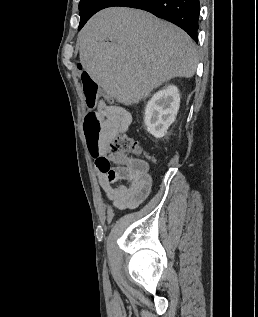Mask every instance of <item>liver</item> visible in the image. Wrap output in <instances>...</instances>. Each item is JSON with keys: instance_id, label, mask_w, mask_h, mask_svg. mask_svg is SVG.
<instances>
[{"instance_id": "liver-1", "label": "liver", "mask_w": 258, "mask_h": 317, "mask_svg": "<svg viewBox=\"0 0 258 317\" xmlns=\"http://www.w3.org/2000/svg\"><path fill=\"white\" fill-rule=\"evenodd\" d=\"M81 64L105 98L139 102L174 78L195 74V42L179 26L138 8L96 12L79 32Z\"/></svg>"}]
</instances>
